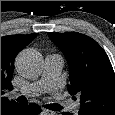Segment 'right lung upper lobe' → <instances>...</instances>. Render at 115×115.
<instances>
[{
	"mask_svg": "<svg viewBox=\"0 0 115 115\" xmlns=\"http://www.w3.org/2000/svg\"><path fill=\"white\" fill-rule=\"evenodd\" d=\"M36 35L37 34L34 33L1 37V112L8 107L18 105L15 101L8 100V98L4 96V93L6 90L13 89L11 80L16 55L27 46Z\"/></svg>",
	"mask_w": 115,
	"mask_h": 115,
	"instance_id": "1",
	"label": "right lung upper lobe"
}]
</instances>
